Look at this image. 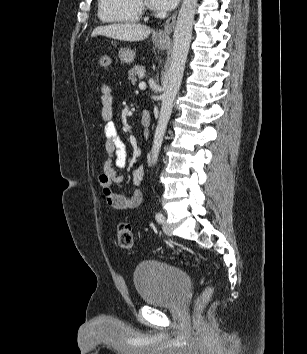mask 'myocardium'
Segmentation results:
<instances>
[{"label": "myocardium", "mask_w": 307, "mask_h": 354, "mask_svg": "<svg viewBox=\"0 0 307 354\" xmlns=\"http://www.w3.org/2000/svg\"><path fill=\"white\" fill-rule=\"evenodd\" d=\"M140 12L148 11V4L145 0H134Z\"/></svg>", "instance_id": "obj_1"}]
</instances>
